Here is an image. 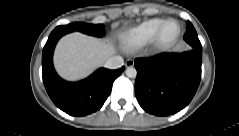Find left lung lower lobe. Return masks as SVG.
Masks as SVG:
<instances>
[{"label": "left lung lower lobe", "mask_w": 239, "mask_h": 136, "mask_svg": "<svg viewBox=\"0 0 239 136\" xmlns=\"http://www.w3.org/2000/svg\"><path fill=\"white\" fill-rule=\"evenodd\" d=\"M202 51L164 53L135 60V94L140 106L157 116L175 114L195 95L201 79Z\"/></svg>", "instance_id": "left-lung-lower-lobe-1"}]
</instances>
